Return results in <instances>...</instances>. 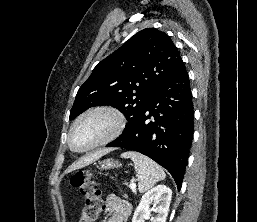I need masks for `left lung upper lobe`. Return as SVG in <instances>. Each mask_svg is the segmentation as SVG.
<instances>
[{
    "instance_id": "obj_1",
    "label": "left lung upper lobe",
    "mask_w": 257,
    "mask_h": 222,
    "mask_svg": "<svg viewBox=\"0 0 257 222\" xmlns=\"http://www.w3.org/2000/svg\"><path fill=\"white\" fill-rule=\"evenodd\" d=\"M182 62L171 38L146 28L102 60L79 88L70 112L72 120L86 109L111 105L131 126L155 90Z\"/></svg>"
}]
</instances>
